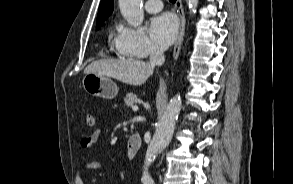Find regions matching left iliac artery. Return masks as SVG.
I'll list each match as a JSON object with an SVG mask.
<instances>
[{
	"label": "left iliac artery",
	"instance_id": "44dca946",
	"mask_svg": "<svg viewBox=\"0 0 293 184\" xmlns=\"http://www.w3.org/2000/svg\"><path fill=\"white\" fill-rule=\"evenodd\" d=\"M146 184H154V183H146Z\"/></svg>",
	"mask_w": 293,
	"mask_h": 184
}]
</instances>
